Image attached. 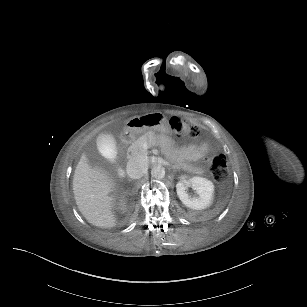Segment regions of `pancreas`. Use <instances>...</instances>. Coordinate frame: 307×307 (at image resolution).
<instances>
[{
	"label": "pancreas",
	"mask_w": 307,
	"mask_h": 307,
	"mask_svg": "<svg viewBox=\"0 0 307 307\" xmlns=\"http://www.w3.org/2000/svg\"><path fill=\"white\" fill-rule=\"evenodd\" d=\"M150 140L151 142H154L155 144H158L160 147H164L165 149H168L170 147V144L168 142H164L161 140L159 136H154L151 135L148 137L147 135H142L140 136L133 144L131 147V155H140V156H145L147 155V151L143 148V145ZM166 157L171 161V162H177L179 163V159L176 157L170 158L169 154H166Z\"/></svg>",
	"instance_id": "pancreas-1"
}]
</instances>
